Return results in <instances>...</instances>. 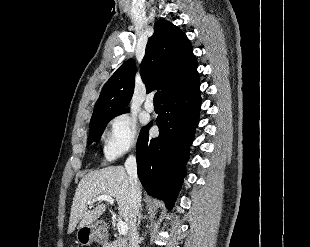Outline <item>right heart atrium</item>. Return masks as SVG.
I'll use <instances>...</instances> for the list:
<instances>
[{"mask_svg": "<svg viewBox=\"0 0 310 247\" xmlns=\"http://www.w3.org/2000/svg\"><path fill=\"white\" fill-rule=\"evenodd\" d=\"M137 145V124L128 114L114 117L104 134L103 151L108 160L133 152Z\"/></svg>", "mask_w": 310, "mask_h": 247, "instance_id": "right-heart-atrium-1", "label": "right heart atrium"}]
</instances>
